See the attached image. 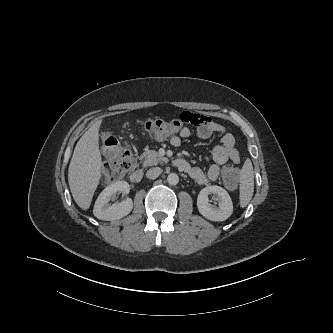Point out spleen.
I'll return each instance as SVG.
<instances>
[{"mask_svg": "<svg viewBox=\"0 0 333 333\" xmlns=\"http://www.w3.org/2000/svg\"><path fill=\"white\" fill-rule=\"evenodd\" d=\"M254 192V174L250 160L244 163L240 176V206L246 207Z\"/></svg>", "mask_w": 333, "mask_h": 333, "instance_id": "3e777b00", "label": "spleen"}]
</instances>
